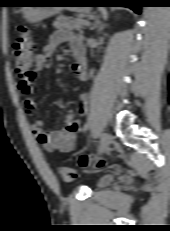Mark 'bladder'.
I'll use <instances>...</instances> for the list:
<instances>
[{"label":"bladder","instance_id":"31cf9c89","mask_svg":"<svg viewBox=\"0 0 170 231\" xmlns=\"http://www.w3.org/2000/svg\"><path fill=\"white\" fill-rule=\"evenodd\" d=\"M114 180V176L112 174H105L99 177L97 180V186L98 187H105L109 184H111Z\"/></svg>","mask_w":170,"mask_h":231}]
</instances>
